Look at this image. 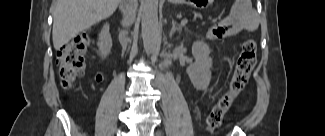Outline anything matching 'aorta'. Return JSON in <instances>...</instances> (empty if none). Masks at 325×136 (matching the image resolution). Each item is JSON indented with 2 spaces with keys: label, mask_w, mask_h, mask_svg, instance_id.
Returning a JSON list of instances; mask_svg holds the SVG:
<instances>
[{
  "label": "aorta",
  "mask_w": 325,
  "mask_h": 136,
  "mask_svg": "<svg viewBox=\"0 0 325 136\" xmlns=\"http://www.w3.org/2000/svg\"><path fill=\"white\" fill-rule=\"evenodd\" d=\"M158 33V0H145L141 16V35L144 48L148 53L155 50Z\"/></svg>",
  "instance_id": "762f6f07"
}]
</instances>
